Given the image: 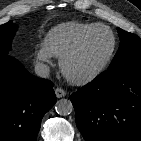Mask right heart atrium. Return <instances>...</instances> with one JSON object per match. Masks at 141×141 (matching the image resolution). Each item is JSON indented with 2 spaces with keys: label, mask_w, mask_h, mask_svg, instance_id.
<instances>
[{
  "label": "right heart atrium",
  "mask_w": 141,
  "mask_h": 141,
  "mask_svg": "<svg viewBox=\"0 0 141 141\" xmlns=\"http://www.w3.org/2000/svg\"><path fill=\"white\" fill-rule=\"evenodd\" d=\"M35 58L42 64L52 63V56L44 47H39L35 50Z\"/></svg>",
  "instance_id": "right-heart-atrium-1"
}]
</instances>
